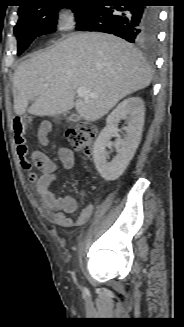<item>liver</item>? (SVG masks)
<instances>
[{
    "instance_id": "liver-1",
    "label": "liver",
    "mask_w": 184,
    "mask_h": 327,
    "mask_svg": "<svg viewBox=\"0 0 184 327\" xmlns=\"http://www.w3.org/2000/svg\"><path fill=\"white\" fill-rule=\"evenodd\" d=\"M151 80V68L132 44L105 33H75L17 67L14 111L57 116L75 107L81 118L96 121ZM80 87L94 96L75 100Z\"/></svg>"
}]
</instances>
